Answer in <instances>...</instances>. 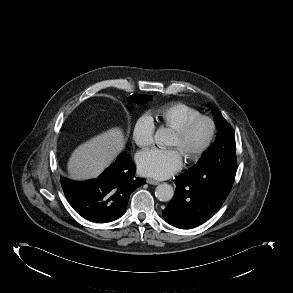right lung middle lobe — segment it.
<instances>
[{
    "label": "right lung middle lobe",
    "mask_w": 293,
    "mask_h": 293,
    "mask_svg": "<svg viewBox=\"0 0 293 293\" xmlns=\"http://www.w3.org/2000/svg\"><path fill=\"white\" fill-rule=\"evenodd\" d=\"M151 98L152 97L149 95L133 94L129 99L133 103L144 104L148 102Z\"/></svg>",
    "instance_id": "1"
}]
</instances>
